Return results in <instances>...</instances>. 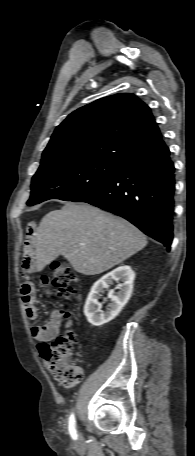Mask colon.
<instances>
[{"label":"colon","mask_w":195,"mask_h":456,"mask_svg":"<svg viewBox=\"0 0 195 456\" xmlns=\"http://www.w3.org/2000/svg\"><path fill=\"white\" fill-rule=\"evenodd\" d=\"M51 271L53 286L62 295L68 297L76 293L79 277L68 263L54 261ZM68 315L67 313L66 316ZM75 339V334L67 331L52 343L42 342L38 345L45 367L65 387L77 385L82 378L81 369L70 360Z\"/></svg>","instance_id":"colon-1"}]
</instances>
